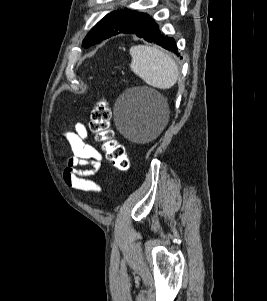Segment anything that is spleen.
Listing matches in <instances>:
<instances>
[{
    "mask_svg": "<svg viewBox=\"0 0 267 301\" xmlns=\"http://www.w3.org/2000/svg\"><path fill=\"white\" fill-rule=\"evenodd\" d=\"M131 69L148 85L158 89L171 88L178 79V67L170 55L157 47H131Z\"/></svg>",
    "mask_w": 267,
    "mask_h": 301,
    "instance_id": "spleen-1",
    "label": "spleen"
}]
</instances>
